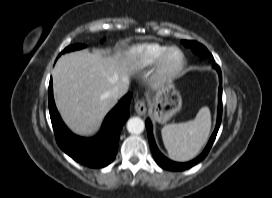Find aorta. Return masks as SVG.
I'll return each mask as SVG.
<instances>
[{"label":"aorta","mask_w":272,"mask_h":198,"mask_svg":"<svg viewBox=\"0 0 272 198\" xmlns=\"http://www.w3.org/2000/svg\"><path fill=\"white\" fill-rule=\"evenodd\" d=\"M145 124L139 117L130 118L127 122V130L131 134H140L143 132Z\"/></svg>","instance_id":"obj_1"}]
</instances>
